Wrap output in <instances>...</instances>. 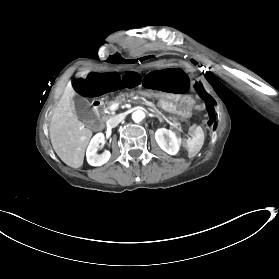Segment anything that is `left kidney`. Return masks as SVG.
Returning <instances> with one entry per match:
<instances>
[{"label": "left kidney", "instance_id": "left-kidney-1", "mask_svg": "<svg viewBox=\"0 0 279 279\" xmlns=\"http://www.w3.org/2000/svg\"><path fill=\"white\" fill-rule=\"evenodd\" d=\"M155 139L160 148L167 154L176 155L178 153L181 140L171 130L166 128L157 129Z\"/></svg>", "mask_w": 279, "mask_h": 279}]
</instances>
